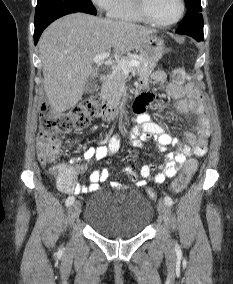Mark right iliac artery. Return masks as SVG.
<instances>
[{
	"label": "right iliac artery",
	"mask_w": 233,
	"mask_h": 284,
	"mask_svg": "<svg viewBox=\"0 0 233 284\" xmlns=\"http://www.w3.org/2000/svg\"><path fill=\"white\" fill-rule=\"evenodd\" d=\"M74 200H75V198L73 197V196H69L67 199H66V206L68 207V206H70V205H72L73 203H74Z\"/></svg>",
	"instance_id": "obj_1"
}]
</instances>
